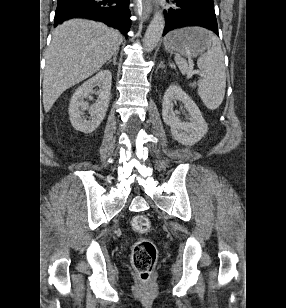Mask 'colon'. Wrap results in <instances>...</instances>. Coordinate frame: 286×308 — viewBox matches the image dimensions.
Wrapping results in <instances>:
<instances>
[{
	"mask_svg": "<svg viewBox=\"0 0 286 308\" xmlns=\"http://www.w3.org/2000/svg\"><path fill=\"white\" fill-rule=\"evenodd\" d=\"M132 228L139 233H146L150 230L151 223L146 215H137L132 219ZM132 265L138 273L143 284L151 279L153 268L157 261V248L155 244L145 238L139 239L132 248Z\"/></svg>",
	"mask_w": 286,
	"mask_h": 308,
	"instance_id": "obj_1",
	"label": "colon"
}]
</instances>
